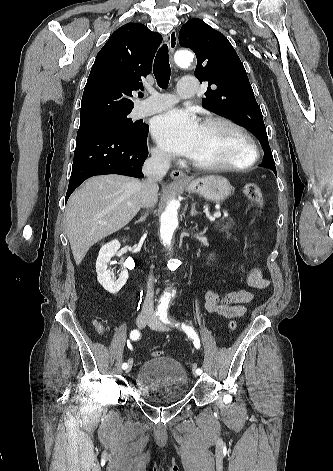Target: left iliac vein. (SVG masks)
Instances as JSON below:
<instances>
[{"mask_svg": "<svg viewBox=\"0 0 333 471\" xmlns=\"http://www.w3.org/2000/svg\"><path fill=\"white\" fill-rule=\"evenodd\" d=\"M149 326L154 329V330H158V331H165L167 330V328L160 322V320L153 316L151 317V320L149 322ZM194 376L197 377L199 376V374L196 373V371L193 372Z\"/></svg>", "mask_w": 333, "mask_h": 471, "instance_id": "1", "label": "left iliac vein"}]
</instances>
